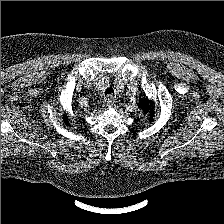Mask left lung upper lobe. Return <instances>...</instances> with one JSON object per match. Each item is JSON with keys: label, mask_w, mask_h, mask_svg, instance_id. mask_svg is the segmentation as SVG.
Masks as SVG:
<instances>
[{"label": "left lung upper lobe", "mask_w": 224, "mask_h": 224, "mask_svg": "<svg viewBox=\"0 0 224 224\" xmlns=\"http://www.w3.org/2000/svg\"><path fill=\"white\" fill-rule=\"evenodd\" d=\"M138 106L143 110L144 113L150 115V122L153 121L154 116V103L148 99L139 100Z\"/></svg>", "instance_id": "left-lung-upper-lobe-1"}]
</instances>
